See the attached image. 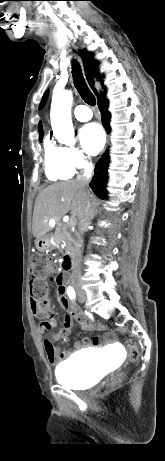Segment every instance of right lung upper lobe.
Returning a JSON list of instances; mask_svg holds the SVG:
<instances>
[{"mask_svg": "<svg viewBox=\"0 0 165 461\" xmlns=\"http://www.w3.org/2000/svg\"><path fill=\"white\" fill-rule=\"evenodd\" d=\"M85 54H86V56H87V58H88V61H89V63H90V67H91V69H92V71H93V74H94L95 76H97L96 71H97L98 66H99L98 61H95V60H94V56H93L92 53L85 51ZM46 96H47V92H45V94L43 95V98H42V100H41L39 109H41V108L43 107L44 100L46 99ZM38 130H39L40 135H43L41 122H39V124H38Z\"/></svg>", "mask_w": 165, "mask_h": 461, "instance_id": "right-lung-upper-lobe-1", "label": "right lung upper lobe"}]
</instances>
